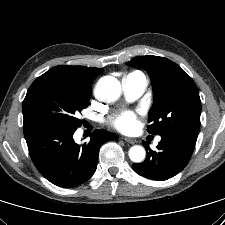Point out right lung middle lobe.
Returning a JSON list of instances; mask_svg holds the SVG:
<instances>
[{
    "label": "right lung middle lobe",
    "instance_id": "dd1d6c3e",
    "mask_svg": "<svg viewBox=\"0 0 225 225\" xmlns=\"http://www.w3.org/2000/svg\"><path fill=\"white\" fill-rule=\"evenodd\" d=\"M91 84L65 76L35 80L23 101L24 125L49 123L66 129L81 126L78 113L88 106Z\"/></svg>",
    "mask_w": 225,
    "mask_h": 225
}]
</instances>
